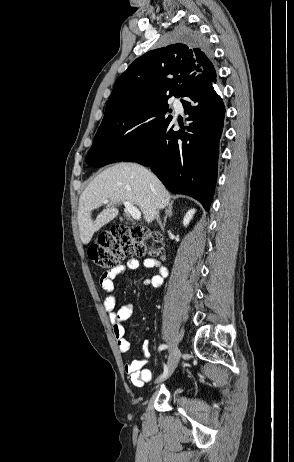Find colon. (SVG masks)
Listing matches in <instances>:
<instances>
[{"mask_svg":"<svg viewBox=\"0 0 294 462\" xmlns=\"http://www.w3.org/2000/svg\"><path fill=\"white\" fill-rule=\"evenodd\" d=\"M145 237H151L156 242L160 240L159 234H151L142 227L114 226L89 248V258L97 268L109 271L126 257L143 256L147 252L155 254L156 248L146 245Z\"/></svg>","mask_w":294,"mask_h":462,"instance_id":"5ec220e1","label":"colon"}]
</instances>
